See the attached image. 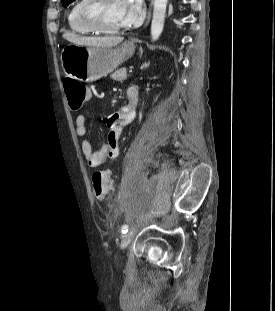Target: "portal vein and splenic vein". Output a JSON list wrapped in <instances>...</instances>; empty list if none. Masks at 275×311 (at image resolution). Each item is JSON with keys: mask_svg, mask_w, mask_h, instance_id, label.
<instances>
[{"mask_svg": "<svg viewBox=\"0 0 275 311\" xmlns=\"http://www.w3.org/2000/svg\"><path fill=\"white\" fill-rule=\"evenodd\" d=\"M132 72H133V70H132V69H130V70H129V73H132Z\"/></svg>", "mask_w": 275, "mask_h": 311, "instance_id": "obj_1", "label": "portal vein and splenic vein"}]
</instances>
